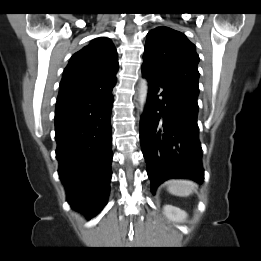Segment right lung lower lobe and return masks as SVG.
Instances as JSON below:
<instances>
[{"mask_svg": "<svg viewBox=\"0 0 261 261\" xmlns=\"http://www.w3.org/2000/svg\"><path fill=\"white\" fill-rule=\"evenodd\" d=\"M113 87L76 94L56 102L59 178L71 207L86 212L90 218L103 209L110 188Z\"/></svg>", "mask_w": 261, "mask_h": 261, "instance_id": "obj_1", "label": "right lung lower lobe"}]
</instances>
